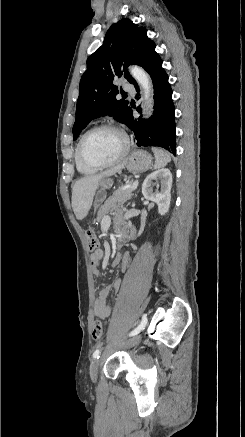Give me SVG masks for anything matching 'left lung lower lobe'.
Segmentation results:
<instances>
[{"instance_id": "0a47b994", "label": "left lung lower lobe", "mask_w": 245, "mask_h": 437, "mask_svg": "<svg viewBox=\"0 0 245 437\" xmlns=\"http://www.w3.org/2000/svg\"><path fill=\"white\" fill-rule=\"evenodd\" d=\"M151 76L154 86V112L148 120L134 118L132 105L128 112L126 125L134 132L137 146L163 147L176 153V133L172 89L168 83V75L162 68L160 56L151 49L143 58L141 65ZM139 91L137 83H132ZM141 112V109H137Z\"/></svg>"}]
</instances>
